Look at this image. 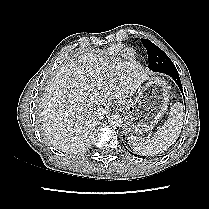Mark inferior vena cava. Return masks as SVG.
Segmentation results:
<instances>
[{
  "instance_id": "inferior-vena-cava-1",
  "label": "inferior vena cava",
  "mask_w": 209,
  "mask_h": 209,
  "mask_svg": "<svg viewBox=\"0 0 209 209\" xmlns=\"http://www.w3.org/2000/svg\"><path fill=\"white\" fill-rule=\"evenodd\" d=\"M93 116L95 117V118H99L100 116H101V111L99 110V109H93Z\"/></svg>"
}]
</instances>
